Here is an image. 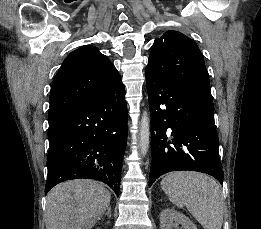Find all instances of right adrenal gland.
Returning <instances> with one entry per match:
<instances>
[{
	"mask_svg": "<svg viewBox=\"0 0 261 229\" xmlns=\"http://www.w3.org/2000/svg\"><path fill=\"white\" fill-rule=\"evenodd\" d=\"M105 215H108V217L110 219V217H111V207H108L107 213H105Z\"/></svg>",
	"mask_w": 261,
	"mask_h": 229,
	"instance_id": "obj_1",
	"label": "right adrenal gland"
}]
</instances>
